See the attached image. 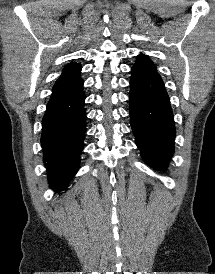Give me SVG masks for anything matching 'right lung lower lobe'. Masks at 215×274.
Here are the masks:
<instances>
[{
	"label": "right lung lower lobe",
	"instance_id": "right-lung-lower-lobe-1",
	"mask_svg": "<svg viewBox=\"0 0 215 274\" xmlns=\"http://www.w3.org/2000/svg\"><path fill=\"white\" fill-rule=\"evenodd\" d=\"M82 86L69 97L48 104L42 120L43 161L56 191L63 190L79 169L86 132Z\"/></svg>",
	"mask_w": 215,
	"mask_h": 274
}]
</instances>
